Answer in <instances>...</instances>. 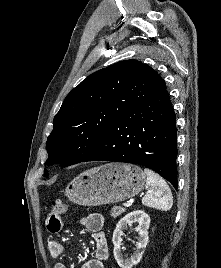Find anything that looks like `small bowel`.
<instances>
[{
    "label": "small bowel",
    "mask_w": 221,
    "mask_h": 268,
    "mask_svg": "<svg viewBox=\"0 0 221 268\" xmlns=\"http://www.w3.org/2000/svg\"><path fill=\"white\" fill-rule=\"evenodd\" d=\"M105 219L99 213H92L81 219L80 223L92 233L95 241V256L85 262L81 268H105V261L109 255V247L106 235L103 231ZM65 226V221L62 216L49 214L46 220V228L52 234L59 233ZM48 251L52 258L58 259L65 251L64 245L56 240H51L48 243ZM54 268H66L59 261L54 262Z\"/></svg>",
    "instance_id": "obj_1"
}]
</instances>
